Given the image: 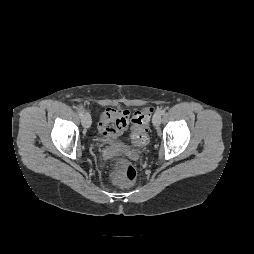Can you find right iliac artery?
<instances>
[{"mask_svg":"<svg viewBox=\"0 0 254 254\" xmlns=\"http://www.w3.org/2000/svg\"><path fill=\"white\" fill-rule=\"evenodd\" d=\"M78 114H79V116L82 118L83 113L81 112V110H78Z\"/></svg>","mask_w":254,"mask_h":254,"instance_id":"82829eb1","label":"right iliac artery"}]
</instances>
